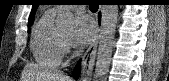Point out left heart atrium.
Masks as SVG:
<instances>
[{
  "label": "left heart atrium",
  "instance_id": "1",
  "mask_svg": "<svg viewBox=\"0 0 169 81\" xmlns=\"http://www.w3.org/2000/svg\"><path fill=\"white\" fill-rule=\"evenodd\" d=\"M94 33V25L85 14H79L75 18L74 28L71 33V43L75 47L85 46Z\"/></svg>",
  "mask_w": 169,
  "mask_h": 81
}]
</instances>
